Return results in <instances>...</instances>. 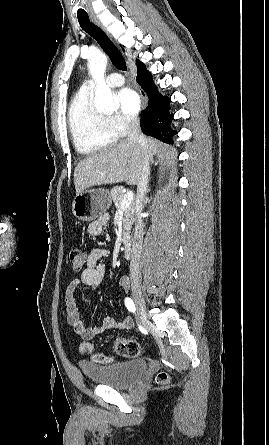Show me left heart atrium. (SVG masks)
<instances>
[{"label":"left heart atrium","instance_id":"obj_1","mask_svg":"<svg viewBox=\"0 0 269 445\" xmlns=\"http://www.w3.org/2000/svg\"><path fill=\"white\" fill-rule=\"evenodd\" d=\"M121 112L130 117L136 116L140 108V98L131 88H123L117 94Z\"/></svg>","mask_w":269,"mask_h":445}]
</instances>
